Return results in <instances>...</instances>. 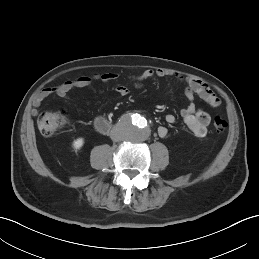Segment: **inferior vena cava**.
Returning a JSON list of instances; mask_svg holds the SVG:
<instances>
[{"instance_id":"602c4592","label":"inferior vena cava","mask_w":259,"mask_h":259,"mask_svg":"<svg viewBox=\"0 0 259 259\" xmlns=\"http://www.w3.org/2000/svg\"><path fill=\"white\" fill-rule=\"evenodd\" d=\"M110 137L113 141L122 140V135L118 131H112Z\"/></svg>"}]
</instances>
